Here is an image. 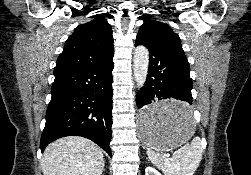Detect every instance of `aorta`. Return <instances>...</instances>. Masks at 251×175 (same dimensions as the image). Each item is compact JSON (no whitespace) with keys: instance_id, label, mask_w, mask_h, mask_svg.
Listing matches in <instances>:
<instances>
[{"instance_id":"1","label":"aorta","mask_w":251,"mask_h":175,"mask_svg":"<svg viewBox=\"0 0 251 175\" xmlns=\"http://www.w3.org/2000/svg\"><path fill=\"white\" fill-rule=\"evenodd\" d=\"M149 66V52L144 46H137L134 52L133 72L137 88H143Z\"/></svg>"}]
</instances>
